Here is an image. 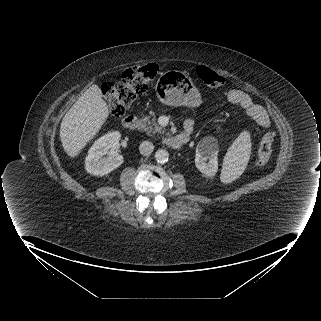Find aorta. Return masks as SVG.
Wrapping results in <instances>:
<instances>
[{"label": "aorta", "instance_id": "762f6f07", "mask_svg": "<svg viewBox=\"0 0 321 321\" xmlns=\"http://www.w3.org/2000/svg\"><path fill=\"white\" fill-rule=\"evenodd\" d=\"M169 159V153L165 149H158L155 152V160L158 163H165Z\"/></svg>", "mask_w": 321, "mask_h": 321}]
</instances>
